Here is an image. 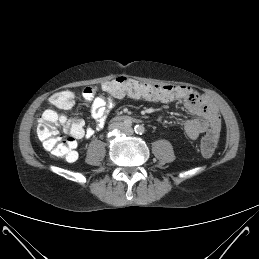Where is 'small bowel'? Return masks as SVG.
<instances>
[{
  "instance_id": "c3829d8e",
  "label": "small bowel",
  "mask_w": 259,
  "mask_h": 259,
  "mask_svg": "<svg viewBox=\"0 0 259 259\" xmlns=\"http://www.w3.org/2000/svg\"><path fill=\"white\" fill-rule=\"evenodd\" d=\"M170 93L159 98H148V100L161 103H171L174 101H182L186 110L193 115L192 118L184 122V131L186 135L195 140L200 134L216 133L221 127V120L217 108L206 97L202 96L197 90L186 86H170ZM128 94L96 96L95 87H87L83 92V98L87 103H90V110L93 118L96 121V127L83 128L79 138H91L96 130L101 129L106 121L109 111L113 107L116 99H122ZM133 98L131 95H128ZM70 104L66 107L69 108ZM77 159V152H76Z\"/></svg>"
}]
</instances>
